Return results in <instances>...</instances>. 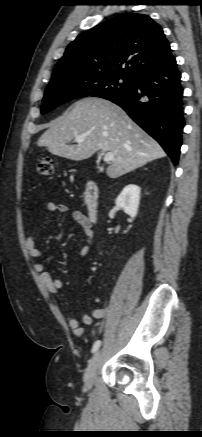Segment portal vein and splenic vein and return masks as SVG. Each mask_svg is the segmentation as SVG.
Wrapping results in <instances>:
<instances>
[{
  "label": "portal vein and splenic vein",
  "mask_w": 202,
  "mask_h": 437,
  "mask_svg": "<svg viewBox=\"0 0 202 437\" xmlns=\"http://www.w3.org/2000/svg\"><path fill=\"white\" fill-rule=\"evenodd\" d=\"M85 140V135H79L76 136L75 141L77 143H82ZM104 162H110L114 160V153L113 152H106L104 155Z\"/></svg>",
  "instance_id": "18ae733b"
}]
</instances>
